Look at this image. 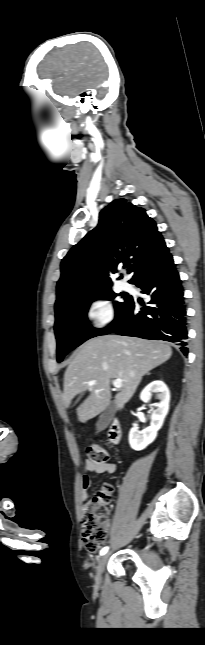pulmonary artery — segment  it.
Masks as SVG:
<instances>
[{"instance_id": "pulmonary-artery-1", "label": "pulmonary artery", "mask_w": 205, "mask_h": 645, "mask_svg": "<svg viewBox=\"0 0 205 645\" xmlns=\"http://www.w3.org/2000/svg\"><path fill=\"white\" fill-rule=\"evenodd\" d=\"M120 286L123 290H130L132 288L130 283L126 279H122L120 281Z\"/></svg>"}]
</instances>
